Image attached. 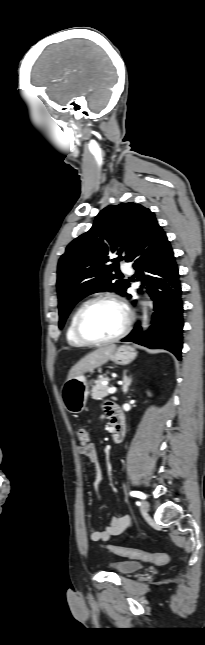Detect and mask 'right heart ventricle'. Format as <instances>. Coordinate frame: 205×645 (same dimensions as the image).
Instances as JSON below:
<instances>
[{"instance_id": "1", "label": "right heart ventricle", "mask_w": 205, "mask_h": 645, "mask_svg": "<svg viewBox=\"0 0 205 645\" xmlns=\"http://www.w3.org/2000/svg\"><path fill=\"white\" fill-rule=\"evenodd\" d=\"M80 307L81 306L77 307L73 311V313H72V315H71V317L69 319L67 328H66V340H67V343L70 346H73V347H82V346L85 345L82 341H80L78 339V337L75 334V330H74L75 318H76L77 312H78Z\"/></svg>"}]
</instances>
